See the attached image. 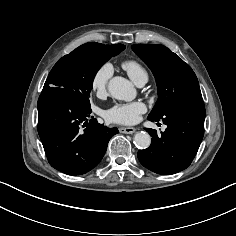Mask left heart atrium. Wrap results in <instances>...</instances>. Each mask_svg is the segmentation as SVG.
<instances>
[{"label": "left heart atrium", "mask_w": 236, "mask_h": 236, "mask_svg": "<svg viewBox=\"0 0 236 236\" xmlns=\"http://www.w3.org/2000/svg\"><path fill=\"white\" fill-rule=\"evenodd\" d=\"M146 105L142 101L120 102L112 105L105 112V118L118 124H134L146 112Z\"/></svg>", "instance_id": "39dd6f15"}]
</instances>
